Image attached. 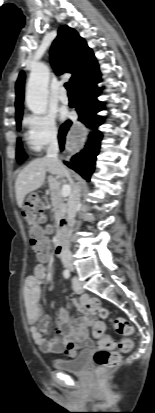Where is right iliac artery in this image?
Here are the masks:
<instances>
[{
  "label": "right iliac artery",
  "instance_id": "1",
  "mask_svg": "<svg viewBox=\"0 0 155 413\" xmlns=\"http://www.w3.org/2000/svg\"><path fill=\"white\" fill-rule=\"evenodd\" d=\"M63 275H64L65 278H69L70 273H69L68 270H65V271L63 272Z\"/></svg>",
  "mask_w": 155,
  "mask_h": 413
}]
</instances>
